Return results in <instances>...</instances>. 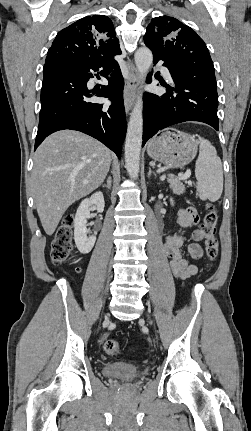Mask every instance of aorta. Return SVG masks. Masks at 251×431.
<instances>
[{
	"instance_id": "obj_1",
	"label": "aorta",
	"mask_w": 251,
	"mask_h": 431,
	"mask_svg": "<svg viewBox=\"0 0 251 431\" xmlns=\"http://www.w3.org/2000/svg\"><path fill=\"white\" fill-rule=\"evenodd\" d=\"M152 62L153 55L147 47H141L135 52V64L142 80H145ZM142 111L143 99L142 94H139L130 114L125 140V166L132 179H137L139 174L143 135Z\"/></svg>"
}]
</instances>
